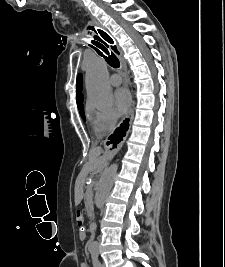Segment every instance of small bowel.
Masks as SVG:
<instances>
[{
    "label": "small bowel",
    "mask_w": 225,
    "mask_h": 267,
    "mask_svg": "<svg viewBox=\"0 0 225 267\" xmlns=\"http://www.w3.org/2000/svg\"><path fill=\"white\" fill-rule=\"evenodd\" d=\"M81 267H88L86 263H82Z\"/></svg>",
    "instance_id": "obj_1"
}]
</instances>
